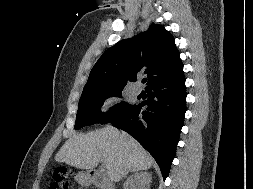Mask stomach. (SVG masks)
Listing matches in <instances>:
<instances>
[{"label":"stomach","mask_w":253,"mask_h":189,"mask_svg":"<svg viewBox=\"0 0 253 189\" xmlns=\"http://www.w3.org/2000/svg\"><path fill=\"white\" fill-rule=\"evenodd\" d=\"M75 178L78 182L83 183V184L89 182L84 173L77 174Z\"/></svg>","instance_id":"stomach-1"}]
</instances>
